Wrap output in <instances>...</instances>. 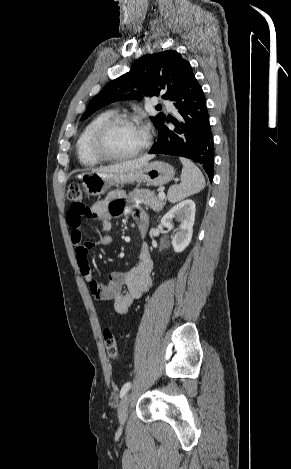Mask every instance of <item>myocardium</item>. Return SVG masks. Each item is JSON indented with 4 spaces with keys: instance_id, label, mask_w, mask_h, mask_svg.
Returning <instances> with one entry per match:
<instances>
[{
    "instance_id": "obj_1",
    "label": "myocardium",
    "mask_w": 291,
    "mask_h": 469,
    "mask_svg": "<svg viewBox=\"0 0 291 469\" xmlns=\"http://www.w3.org/2000/svg\"><path fill=\"white\" fill-rule=\"evenodd\" d=\"M132 124L138 126V121L127 114H115L105 120L96 130L93 137V148L95 153L105 161L121 162L133 159L144 153L151 144V138L148 132H145L146 138L144 144L136 151L126 155H115L108 148V136L110 131L118 124Z\"/></svg>"
}]
</instances>
